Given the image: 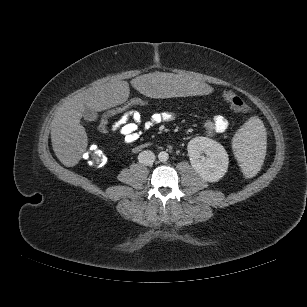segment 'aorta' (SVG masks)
Instances as JSON below:
<instances>
[{
	"label": "aorta",
	"instance_id": "1",
	"mask_svg": "<svg viewBox=\"0 0 307 307\" xmlns=\"http://www.w3.org/2000/svg\"><path fill=\"white\" fill-rule=\"evenodd\" d=\"M158 159L160 162H166L169 159V154L166 151H161L158 154Z\"/></svg>",
	"mask_w": 307,
	"mask_h": 307
}]
</instances>
